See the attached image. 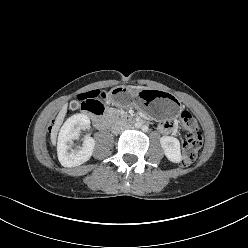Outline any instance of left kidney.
Listing matches in <instances>:
<instances>
[{"label": "left kidney", "mask_w": 248, "mask_h": 248, "mask_svg": "<svg viewBox=\"0 0 248 248\" xmlns=\"http://www.w3.org/2000/svg\"><path fill=\"white\" fill-rule=\"evenodd\" d=\"M160 144L166 157L170 161L179 163L182 160L180 142L177 138L171 136H162L160 138Z\"/></svg>", "instance_id": "obj_1"}]
</instances>
